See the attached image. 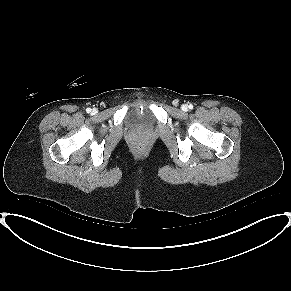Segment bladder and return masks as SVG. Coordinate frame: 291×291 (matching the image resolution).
<instances>
[{
  "mask_svg": "<svg viewBox=\"0 0 291 291\" xmlns=\"http://www.w3.org/2000/svg\"><path fill=\"white\" fill-rule=\"evenodd\" d=\"M127 116L129 123L133 126H151L157 118L151 107L141 104L134 106Z\"/></svg>",
  "mask_w": 291,
  "mask_h": 291,
  "instance_id": "obj_1",
  "label": "bladder"
}]
</instances>
